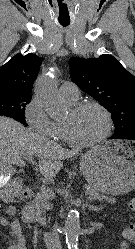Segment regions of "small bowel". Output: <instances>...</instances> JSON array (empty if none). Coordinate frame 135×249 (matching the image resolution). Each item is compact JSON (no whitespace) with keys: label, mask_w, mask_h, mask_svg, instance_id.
<instances>
[{"label":"small bowel","mask_w":135,"mask_h":249,"mask_svg":"<svg viewBox=\"0 0 135 249\" xmlns=\"http://www.w3.org/2000/svg\"><path fill=\"white\" fill-rule=\"evenodd\" d=\"M2 205L0 203V209ZM17 209L14 205H9L5 208V216L0 215V226L9 229L10 234L15 238L16 242L8 247V249H27V243L25 235L22 231L21 221L18 218L13 220H8V217H13L16 215ZM125 249H128L126 247Z\"/></svg>","instance_id":"small-bowel-1"}]
</instances>
